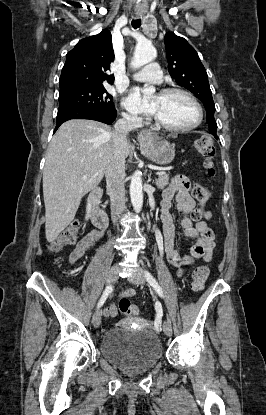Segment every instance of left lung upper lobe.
I'll use <instances>...</instances> for the list:
<instances>
[{
    "label": "left lung upper lobe",
    "instance_id": "5c2ea615",
    "mask_svg": "<svg viewBox=\"0 0 266 415\" xmlns=\"http://www.w3.org/2000/svg\"><path fill=\"white\" fill-rule=\"evenodd\" d=\"M168 71L178 85L187 88L204 103L209 132L217 139V124L214 118L215 104L208 76L195 49L183 37L173 32L165 34Z\"/></svg>",
    "mask_w": 266,
    "mask_h": 415
}]
</instances>
